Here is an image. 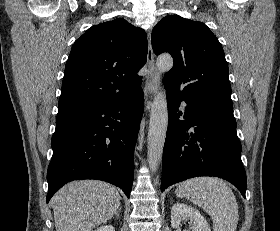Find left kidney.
<instances>
[{"label": "left kidney", "instance_id": "left-kidney-1", "mask_svg": "<svg viewBox=\"0 0 280 231\" xmlns=\"http://www.w3.org/2000/svg\"><path fill=\"white\" fill-rule=\"evenodd\" d=\"M183 221H189L192 231H211L205 217L198 209L185 205V203H174L171 207V225L180 231ZM189 231V229H183Z\"/></svg>", "mask_w": 280, "mask_h": 231}]
</instances>
